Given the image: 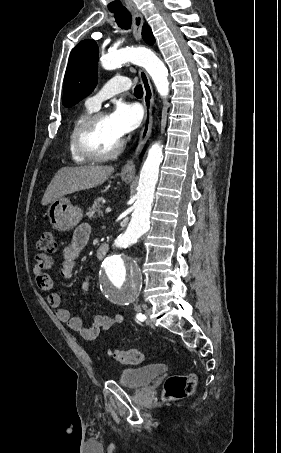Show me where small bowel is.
Here are the masks:
<instances>
[{
	"label": "small bowel",
	"mask_w": 281,
	"mask_h": 453,
	"mask_svg": "<svg viewBox=\"0 0 281 453\" xmlns=\"http://www.w3.org/2000/svg\"><path fill=\"white\" fill-rule=\"evenodd\" d=\"M91 236L90 227L87 224H80L76 227L71 242L63 248V260L61 274L63 277H72L75 274V263L80 257L83 249L88 245ZM98 245H106L100 243ZM107 246V245H106ZM53 259L51 256L39 253L33 260V274L36 277L37 285L42 291L52 289L50 271ZM81 292L87 294L89 288V275H86L80 285ZM49 304L57 308V316L63 323L80 334L83 339H95L102 331L109 329L123 322L121 315L109 317L103 314L93 316L89 325H85L80 317L73 316L68 309L62 307L61 295L58 292H50L47 295Z\"/></svg>",
	"instance_id": "c3829d8e"
}]
</instances>
